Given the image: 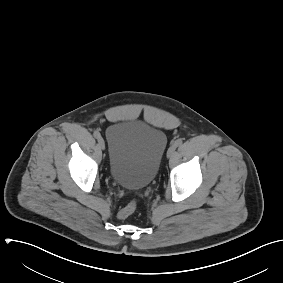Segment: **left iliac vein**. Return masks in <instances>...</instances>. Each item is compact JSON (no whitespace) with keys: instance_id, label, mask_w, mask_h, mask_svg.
Wrapping results in <instances>:
<instances>
[{"instance_id":"4c4485c4","label":"left iliac vein","mask_w":283,"mask_h":283,"mask_svg":"<svg viewBox=\"0 0 283 283\" xmlns=\"http://www.w3.org/2000/svg\"><path fill=\"white\" fill-rule=\"evenodd\" d=\"M175 150H176V146L175 144H172L167 151V157L171 158L174 155Z\"/></svg>"}]
</instances>
